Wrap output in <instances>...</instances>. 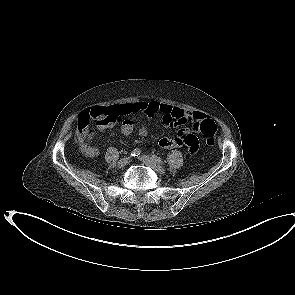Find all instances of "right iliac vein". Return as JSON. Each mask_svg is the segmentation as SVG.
Listing matches in <instances>:
<instances>
[{"instance_id": "right-iliac-vein-1", "label": "right iliac vein", "mask_w": 295, "mask_h": 295, "mask_svg": "<svg viewBox=\"0 0 295 295\" xmlns=\"http://www.w3.org/2000/svg\"><path fill=\"white\" fill-rule=\"evenodd\" d=\"M129 161H130V158L125 157V158L120 159L118 161L117 165H118L119 168H123L129 163Z\"/></svg>"}]
</instances>
